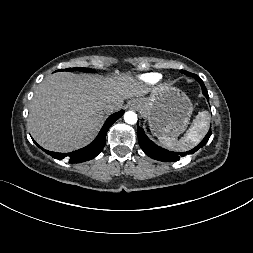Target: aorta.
Instances as JSON below:
<instances>
[{"label":"aorta","mask_w":253,"mask_h":253,"mask_svg":"<svg viewBox=\"0 0 253 253\" xmlns=\"http://www.w3.org/2000/svg\"><path fill=\"white\" fill-rule=\"evenodd\" d=\"M124 120L128 124H135L137 122V115L133 111H128L124 114Z\"/></svg>","instance_id":"aorta-1"}]
</instances>
